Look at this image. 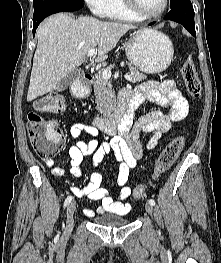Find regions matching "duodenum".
<instances>
[{"label":"duodenum","instance_id":"obj_1","mask_svg":"<svg viewBox=\"0 0 221 263\" xmlns=\"http://www.w3.org/2000/svg\"><path fill=\"white\" fill-rule=\"evenodd\" d=\"M93 79V75L88 73L84 76V83H89ZM84 84L75 85L72 87L73 95L80 97ZM138 105L132 100L127 92H120L117 98V106L112 116L99 118L96 121V126L107 134H115L118 130L128 128L132 122L133 113L138 109Z\"/></svg>","mask_w":221,"mask_h":263}]
</instances>
